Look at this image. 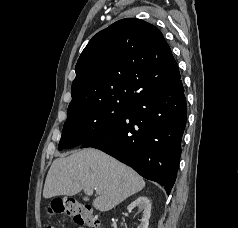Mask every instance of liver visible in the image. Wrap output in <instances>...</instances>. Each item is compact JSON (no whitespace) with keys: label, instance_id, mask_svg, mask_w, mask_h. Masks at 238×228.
I'll use <instances>...</instances> for the list:
<instances>
[{"label":"liver","instance_id":"obj_1","mask_svg":"<svg viewBox=\"0 0 238 228\" xmlns=\"http://www.w3.org/2000/svg\"><path fill=\"white\" fill-rule=\"evenodd\" d=\"M145 187L144 179L130 167L97 149L88 148L55 159L48 171L43 197L73 196L81 190L98 196L93 206L109 211Z\"/></svg>","mask_w":238,"mask_h":228}]
</instances>
